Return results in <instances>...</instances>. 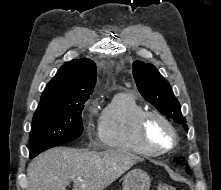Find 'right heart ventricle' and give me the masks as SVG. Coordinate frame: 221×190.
<instances>
[{"label":"right heart ventricle","mask_w":221,"mask_h":190,"mask_svg":"<svg viewBox=\"0 0 221 190\" xmlns=\"http://www.w3.org/2000/svg\"><path fill=\"white\" fill-rule=\"evenodd\" d=\"M144 111L146 108L132 92H116L99 117L98 136L101 143L111 149L153 155L140 142L137 134V121Z\"/></svg>","instance_id":"right-heart-ventricle-1"}]
</instances>
